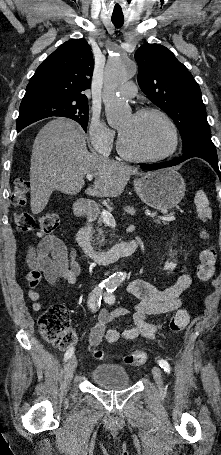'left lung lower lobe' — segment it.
<instances>
[{"mask_svg": "<svg viewBox=\"0 0 221 455\" xmlns=\"http://www.w3.org/2000/svg\"><path fill=\"white\" fill-rule=\"evenodd\" d=\"M192 157H199L210 163V165L213 167V169L216 171L219 178L221 179V174L218 167L217 152L214 145L196 144L190 147L188 150L184 151L181 157L161 163L143 164L141 165V168L145 170H156L160 168L171 167L178 165Z\"/></svg>", "mask_w": 221, "mask_h": 455, "instance_id": "1", "label": "left lung lower lobe"}]
</instances>
